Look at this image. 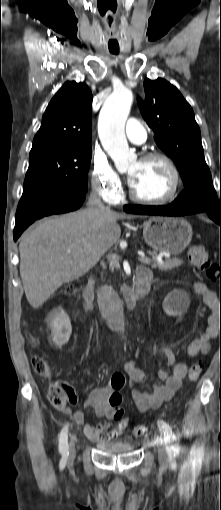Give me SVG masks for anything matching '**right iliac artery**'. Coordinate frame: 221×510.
I'll use <instances>...</instances> for the list:
<instances>
[{"mask_svg":"<svg viewBox=\"0 0 221 510\" xmlns=\"http://www.w3.org/2000/svg\"><path fill=\"white\" fill-rule=\"evenodd\" d=\"M59 451L66 458L68 452V426H64L59 435Z\"/></svg>","mask_w":221,"mask_h":510,"instance_id":"obj_1","label":"right iliac artery"}]
</instances>
